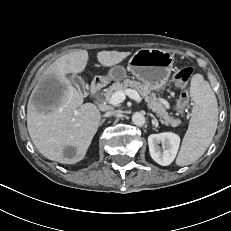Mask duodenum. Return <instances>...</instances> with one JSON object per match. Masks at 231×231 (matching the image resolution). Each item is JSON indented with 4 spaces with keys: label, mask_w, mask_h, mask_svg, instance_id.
<instances>
[{
    "label": "duodenum",
    "mask_w": 231,
    "mask_h": 231,
    "mask_svg": "<svg viewBox=\"0 0 231 231\" xmlns=\"http://www.w3.org/2000/svg\"><path fill=\"white\" fill-rule=\"evenodd\" d=\"M105 85V81L102 78H95L91 83L90 94L95 96Z\"/></svg>",
    "instance_id": "duodenum-1"
}]
</instances>
